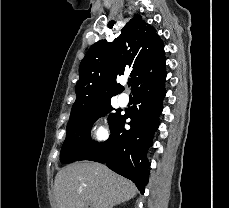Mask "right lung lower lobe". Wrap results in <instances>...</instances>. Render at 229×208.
<instances>
[{
    "mask_svg": "<svg viewBox=\"0 0 229 208\" xmlns=\"http://www.w3.org/2000/svg\"><path fill=\"white\" fill-rule=\"evenodd\" d=\"M165 79L164 65L159 73L132 91L135 104L125 110V114L111 130L109 139L95 145L77 161L106 163L114 172L132 180L143 194L148 183L149 162L146 155L159 127V115L166 93ZM126 119H130L129 130L124 129Z\"/></svg>",
    "mask_w": 229,
    "mask_h": 208,
    "instance_id": "obj_1",
    "label": "right lung lower lobe"
}]
</instances>
